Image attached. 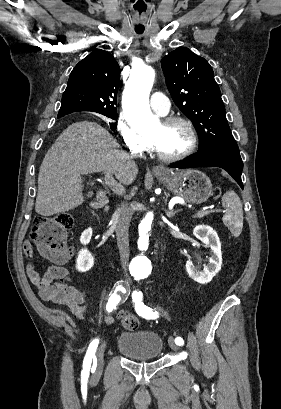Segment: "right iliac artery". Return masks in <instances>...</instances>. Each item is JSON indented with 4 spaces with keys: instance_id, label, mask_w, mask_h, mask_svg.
I'll return each instance as SVG.
<instances>
[{
    "instance_id": "right-iliac-artery-1",
    "label": "right iliac artery",
    "mask_w": 281,
    "mask_h": 409,
    "mask_svg": "<svg viewBox=\"0 0 281 409\" xmlns=\"http://www.w3.org/2000/svg\"><path fill=\"white\" fill-rule=\"evenodd\" d=\"M130 294V289L122 281L116 283L114 290L110 294V298L106 305V310L111 312L119 303H123L127 300ZM99 340L95 339L89 345L87 354L83 362L82 377L87 378L89 376V371L91 367L92 359L95 357V352L98 346ZM94 367L96 368V361L94 362Z\"/></svg>"
}]
</instances>
